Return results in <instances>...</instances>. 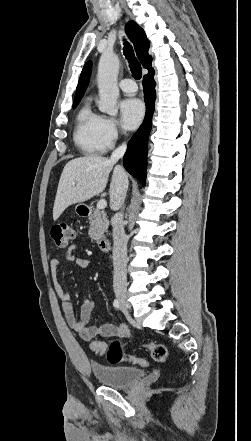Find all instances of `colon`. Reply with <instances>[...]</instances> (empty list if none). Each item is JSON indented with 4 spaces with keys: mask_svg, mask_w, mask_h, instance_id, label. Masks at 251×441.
Returning <instances> with one entry per match:
<instances>
[{
    "mask_svg": "<svg viewBox=\"0 0 251 441\" xmlns=\"http://www.w3.org/2000/svg\"><path fill=\"white\" fill-rule=\"evenodd\" d=\"M51 238L57 248H65L76 236V230L69 224L61 223L51 228ZM151 353V356L158 362H166L169 356L168 348L159 343H144L141 345ZM93 352L105 356L111 364L127 361L131 364L147 366L148 361L141 357L126 356L122 344L116 340L110 344L102 341H93L90 345Z\"/></svg>",
    "mask_w": 251,
    "mask_h": 441,
    "instance_id": "colon-1",
    "label": "colon"
}]
</instances>
